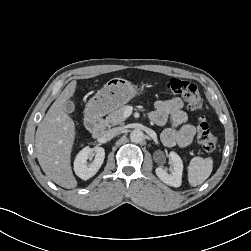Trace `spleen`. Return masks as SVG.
Returning <instances> with one entry per match:
<instances>
[{"label": "spleen", "instance_id": "spleen-1", "mask_svg": "<svg viewBox=\"0 0 251 251\" xmlns=\"http://www.w3.org/2000/svg\"><path fill=\"white\" fill-rule=\"evenodd\" d=\"M213 160L211 158L194 157L188 167V181L191 186L202 184L211 174Z\"/></svg>", "mask_w": 251, "mask_h": 251}]
</instances>
